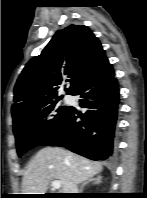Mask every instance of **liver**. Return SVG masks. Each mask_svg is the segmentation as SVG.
<instances>
[{"instance_id": "obj_1", "label": "liver", "mask_w": 147, "mask_h": 198, "mask_svg": "<svg viewBox=\"0 0 147 198\" xmlns=\"http://www.w3.org/2000/svg\"><path fill=\"white\" fill-rule=\"evenodd\" d=\"M103 167L60 147H45L31 159L22 179V194H45L53 180L61 182L62 193H70L74 184L100 173Z\"/></svg>"}]
</instances>
